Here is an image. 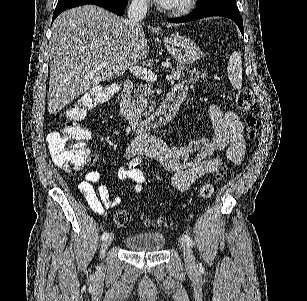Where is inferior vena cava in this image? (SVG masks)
Masks as SVG:
<instances>
[{
  "instance_id": "obj_1",
  "label": "inferior vena cava",
  "mask_w": 307,
  "mask_h": 301,
  "mask_svg": "<svg viewBox=\"0 0 307 301\" xmlns=\"http://www.w3.org/2000/svg\"><path fill=\"white\" fill-rule=\"evenodd\" d=\"M150 0H131L127 12V24L130 28L140 26V20L146 16L147 6Z\"/></svg>"
}]
</instances>
